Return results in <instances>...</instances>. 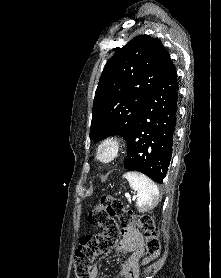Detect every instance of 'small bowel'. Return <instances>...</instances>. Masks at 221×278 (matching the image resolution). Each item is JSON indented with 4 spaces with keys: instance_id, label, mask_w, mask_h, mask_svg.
I'll list each match as a JSON object with an SVG mask.
<instances>
[{
    "instance_id": "obj_1",
    "label": "small bowel",
    "mask_w": 221,
    "mask_h": 278,
    "mask_svg": "<svg viewBox=\"0 0 221 278\" xmlns=\"http://www.w3.org/2000/svg\"><path fill=\"white\" fill-rule=\"evenodd\" d=\"M115 253H126L130 256L121 263L120 274L114 278H138V265L144 256V248L143 236L137 227L124 226L122 228V238ZM90 278H101L97 266L92 268Z\"/></svg>"
}]
</instances>
